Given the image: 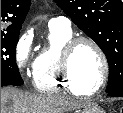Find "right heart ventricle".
<instances>
[{"mask_svg": "<svg viewBox=\"0 0 123 113\" xmlns=\"http://www.w3.org/2000/svg\"><path fill=\"white\" fill-rule=\"evenodd\" d=\"M72 36L71 29H49L48 44L40 50L35 60L33 85L36 90L43 93L67 90L80 95L67 85L60 69L62 49Z\"/></svg>", "mask_w": 123, "mask_h": 113, "instance_id": "e07e8e85", "label": "right heart ventricle"}]
</instances>
